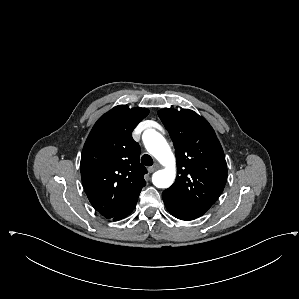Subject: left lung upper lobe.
Returning a JSON list of instances; mask_svg holds the SVG:
<instances>
[{"label": "left lung upper lobe", "mask_w": 299, "mask_h": 299, "mask_svg": "<svg viewBox=\"0 0 299 299\" xmlns=\"http://www.w3.org/2000/svg\"><path fill=\"white\" fill-rule=\"evenodd\" d=\"M175 147L177 177L165 191L187 205L206 212L227 181L224 152L210 124L189 109L158 111Z\"/></svg>", "instance_id": "left-lung-upper-lobe-1"}]
</instances>
